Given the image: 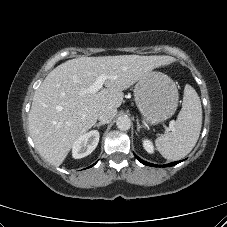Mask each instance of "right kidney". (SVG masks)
I'll return each mask as SVG.
<instances>
[{"mask_svg": "<svg viewBox=\"0 0 227 227\" xmlns=\"http://www.w3.org/2000/svg\"><path fill=\"white\" fill-rule=\"evenodd\" d=\"M99 132L91 130L88 133L81 135L72 147V156L75 159H80L92 153L99 142Z\"/></svg>", "mask_w": 227, "mask_h": 227, "instance_id": "1", "label": "right kidney"}]
</instances>
